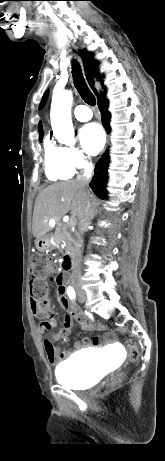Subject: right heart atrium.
<instances>
[{
  "mask_svg": "<svg viewBox=\"0 0 165 461\" xmlns=\"http://www.w3.org/2000/svg\"><path fill=\"white\" fill-rule=\"evenodd\" d=\"M65 158L73 169H82L88 165L87 156L77 147H64Z\"/></svg>",
  "mask_w": 165,
  "mask_h": 461,
  "instance_id": "obj_1",
  "label": "right heart atrium"
}]
</instances>
